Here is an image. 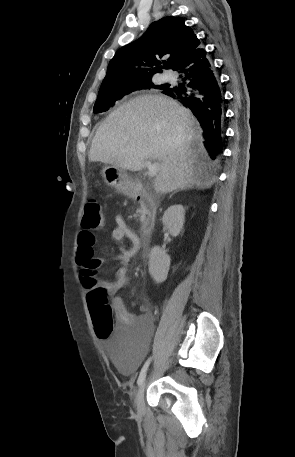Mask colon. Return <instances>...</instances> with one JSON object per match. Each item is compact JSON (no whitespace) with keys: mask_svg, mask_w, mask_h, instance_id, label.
<instances>
[{"mask_svg":"<svg viewBox=\"0 0 295 457\" xmlns=\"http://www.w3.org/2000/svg\"><path fill=\"white\" fill-rule=\"evenodd\" d=\"M106 225V216L102 204L97 198H90L85 205L82 226L88 230H101ZM80 276L87 285L93 284L94 265L86 258H79ZM88 304L97 336L106 339L113 330L112 309L107 302L106 291L93 286L88 293Z\"/></svg>","mask_w":295,"mask_h":457,"instance_id":"obj_1","label":"colon"}]
</instances>
